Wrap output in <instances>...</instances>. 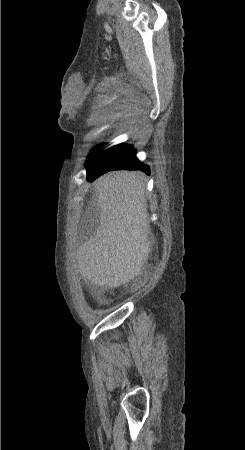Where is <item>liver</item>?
Wrapping results in <instances>:
<instances>
[{
	"mask_svg": "<svg viewBox=\"0 0 245 450\" xmlns=\"http://www.w3.org/2000/svg\"><path fill=\"white\" fill-rule=\"evenodd\" d=\"M100 226L77 252L85 281L117 288L139 275L150 252L145 184L136 172L114 171L96 182Z\"/></svg>",
	"mask_w": 245,
	"mask_h": 450,
	"instance_id": "6515ba94",
	"label": "liver"
}]
</instances>
